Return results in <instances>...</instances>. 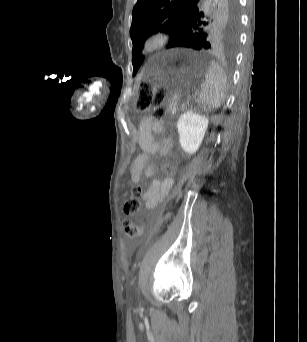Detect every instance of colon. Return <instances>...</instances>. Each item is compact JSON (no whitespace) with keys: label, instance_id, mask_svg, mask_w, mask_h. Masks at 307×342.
Instances as JSON below:
<instances>
[{"label":"colon","instance_id":"1","mask_svg":"<svg viewBox=\"0 0 307 342\" xmlns=\"http://www.w3.org/2000/svg\"><path fill=\"white\" fill-rule=\"evenodd\" d=\"M139 94L141 100L137 104L140 110H149L152 115L159 119L164 117L165 108L163 106L164 96L166 93L165 87H158L152 89L150 82L138 83ZM162 171L167 174H172V166L165 162L162 166ZM142 188L140 185H132L128 189L129 198L123 204L124 213L128 216H135L140 210V195ZM124 234L128 238H135L143 232V226L137 223L134 219H126L123 221Z\"/></svg>","mask_w":307,"mask_h":342}]
</instances>
